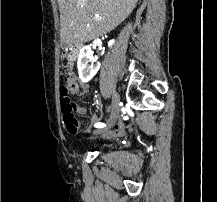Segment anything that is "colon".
I'll return each instance as SVG.
<instances>
[{
	"label": "colon",
	"instance_id": "colon-1",
	"mask_svg": "<svg viewBox=\"0 0 217 202\" xmlns=\"http://www.w3.org/2000/svg\"><path fill=\"white\" fill-rule=\"evenodd\" d=\"M59 55H70V50H59ZM65 67H69V64H65ZM69 72V69H66ZM72 73H59V78H72ZM71 89L69 82H62L61 100L63 109V124L66 125L67 131L70 134H78L81 130L79 128L78 120L75 117L76 105L70 96Z\"/></svg>",
	"mask_w": 217,
	"mask_h": 202
}]
</instances>
